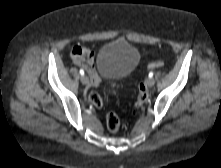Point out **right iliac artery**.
<instances>
[{
    "label": "right iliac artery",
    "instance_id": "obj_1",
    "mask_svg": "<svg viewBox=\"0 0 221 168\" xmlns=\"http://www.w3.org/2000/svg\"><path fill=\"white\" fill-rule=\"evenodd\" d=\"M79 72H80L81 75H84V70L83 69H80Z\"/></svg>",
    "mask_w": 221,
    "mask_h": 168
}]
</instances>
